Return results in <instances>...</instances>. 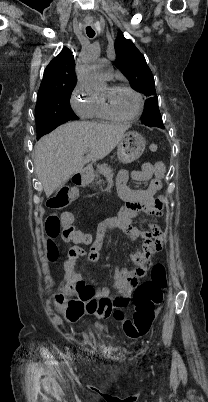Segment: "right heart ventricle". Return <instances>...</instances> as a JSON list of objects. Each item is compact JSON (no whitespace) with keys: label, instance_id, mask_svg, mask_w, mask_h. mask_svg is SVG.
I'll return each mask as SVG.
<instances>
[{"label":"right heart ventricle","instance_id":"e07e8e85","mask_svg":"<svg viewBox=\"0 0 208 402\" xmlns=\"http://www.w3.org/2000/svg\"><path fill=\"white\" fill-rule=\"evenodd\" d=\"M94 109L92 115V123L97 126H107L118 122L114 117H112L107 111L103 101L101 100L100 94L94 95Z\"/></svg>","mask_w":208,"mask_h":402}]
</instances>
